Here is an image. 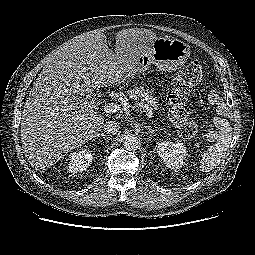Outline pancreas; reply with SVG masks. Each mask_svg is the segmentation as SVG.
Masks as SVG:
<instances>
[{"label": "pancreas", "instance_id": "1", "mask_svg": "<svg viewBox=\"0 0 255 255\" xmlns=\"http://www.w3.org/2000/svg\"><path fill=\"white\" fill-rule=\"evenodd\" d=\"M126 95L130 100H141L146 103L152 110L157 109V98L149 89H145L143 86H132L130 90L126 92Z\"/></svg>", "mask_w": 255, "mask_h": 255}]
</instances>
